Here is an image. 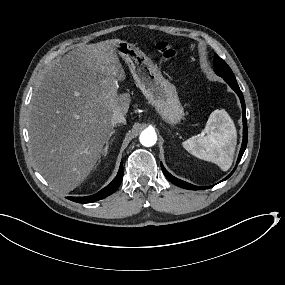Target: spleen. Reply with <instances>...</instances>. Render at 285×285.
I'll use <instances>...</instances> for the list:
<instances>
[{
  "label": "spleen",
  "instance_id": "1",
  "mask_svg": "<svg viewBox=\"0 0 285 285\" xmlns=\"http://www.w3.org/2000/svg\"><path fill=\"white\" fill-rule=\"evenodd\" d=\"M204 131L207 136H192L182 143L184 149L199 159L218 164L227 171L233 161L235 129L219 110L213 111Z\"/></svg>",
  "mask_w": 285,
  "mask_h": 285
}]
</instances>
